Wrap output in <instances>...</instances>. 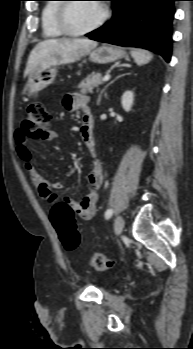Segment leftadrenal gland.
<instances>
[{"label": "left adrenal gland", "instance_id": "a2214340", "mask_svg": "<svg viewBox=\"0 0 193 349\" xmlns=\"http://www.w3.org/2000/svg\"><path fill=\"white\" fill-rule=\"evenodd\" d=\"M122 76V75H121ZM121 76H118L116 79H114L113 81H111L109 84H107L100 92L99 96H98V101L97 103L99 104L100 101H101V97H102V94L105 92V90L109 87V85H111L112 83H114V81H116L118 78H120Z\"/></svg>", "mask_w": 193, "mask_h": 349}]
</instances>
